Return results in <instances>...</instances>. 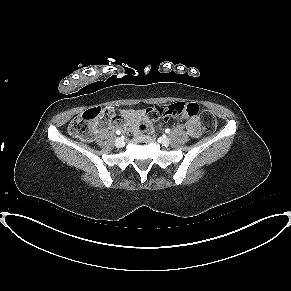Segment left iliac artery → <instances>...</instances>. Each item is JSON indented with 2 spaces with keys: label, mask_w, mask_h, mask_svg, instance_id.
<instances>
[{
  "label": "left iliac artery",
  "mask_w": 291,
  "mask_h": 291,
  "mask_svg": "<svg viewBox=\"0 0 291 291\" xmlns=\"http://www.w3.org/2000/svg\"><path fill=\"white\" fill-rule=\"evenodd\" d=\"M165 132H166V133H170V129L167 128V129L165 130Z\"/></svg>",
  "instance_id": "left-iliac-artery-1"
}]
</instances>
